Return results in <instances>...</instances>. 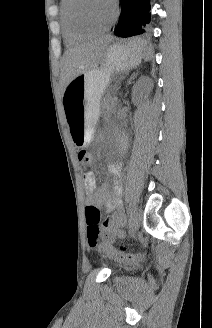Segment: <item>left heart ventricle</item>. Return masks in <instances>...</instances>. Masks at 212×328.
<instances>
[{"label": "left heart ventricle", "mask_w": 212, "mask_h": 328, "mask_svg": "<svg viewBox=\"0 0 212 328\" xmlns=\"http://www.w3.org/2000/svg\"><path fill=\"white\" fill-rule=\"evenodd\" d=\"M114 6L109 0H86L80 9L82 18L95 26H104L112 19Z\"/></svg>", "instance_id": "b2bd125f"}]
</instances>
